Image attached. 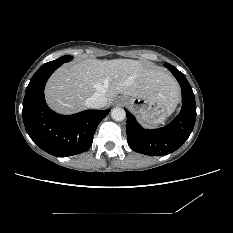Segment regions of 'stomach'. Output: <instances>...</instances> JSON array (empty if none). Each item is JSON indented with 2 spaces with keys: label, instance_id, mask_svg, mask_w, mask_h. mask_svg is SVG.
Segmentation results:
<instances>
[{
  "label": "stomach",
  "instance_id": "obj_1",
  "mask_svg": "<svg viewBox=\"0 0 233 233\" xmlns=\"http://www.w3.org/2000/svg\"><path fill=\"white\" fill-rule=\"evenodd\" d=\"M129 109L148 125L162 124L175 108L151 98L126 97Z\"/></svg>",
  "mask_w": 233,
  "mask_h": 233
}]
</instances>
